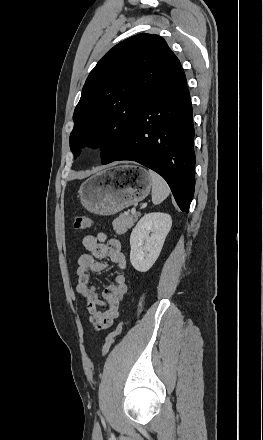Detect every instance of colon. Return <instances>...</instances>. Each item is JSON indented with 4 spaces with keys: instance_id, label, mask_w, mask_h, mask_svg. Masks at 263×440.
<instances>
[{
    "instance_id": "colon-1",
    "label": "colon",
    "mask_w": 263,
    "mask_h": 440,
    "mask_svg": "<svg viewBox=\"0 0 263 440\" xmlns=\"http://www.w3.org/2000/svg\"><path fill=\"white\" fill-rule=\"evenodd\" d=\"M91 225H92L91 219L86 216H81V215L75 216L73 221V229L76 231L85 230L89 228ZM120 331H121V324H119L110 334H108L102 346L103 355L107 354V352L110 350L117 336L119 335Z\"/></svg>"
}]
</instances>
